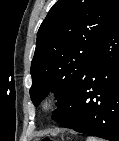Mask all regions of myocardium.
<instances>
[{
  "instance_id": "1",
  "label": "myocardium",
  "mask_w": 119,
  "mask_h": 141,
  "mask_svg": "<svg viewBox=\"0 0 119 141\" xmlns=\"http://www.w3.org/2000/svg\"><path fill=\"white\" fill-rule=\"evenodd\" d=\"M57 97L52 94L44 96L40 102V110L44 114H49L54 111L57 106Z\"/></svg>"
}]
</instances>
